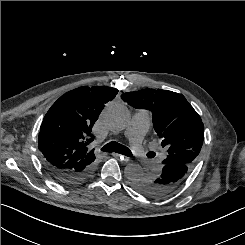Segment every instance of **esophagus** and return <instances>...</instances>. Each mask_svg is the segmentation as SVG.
I'll return each mask as SVG.
<instances>
[{"label": "esophagus", "mask_w": 245, "mask_h": 245, "mask_svg": "<svg viewBox=\"0 0 245 245\" xmlns=\"http://www.w3.org/2000/svg\"><path fill=\"white\" fill-rule=\"evenodd\" d=\"M111 155H112L113 157L120 158V160H121L122 162H124V163H127V162L129 161V158H128V157L123 156V155H121V154H119V153H112Z\"/></svg>", "instance_id": "1"}]
</instances>
